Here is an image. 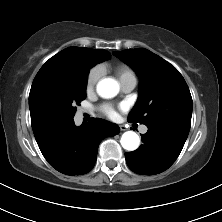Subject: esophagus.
Masks as SVG:
<instances>
[{
    "mask_svg": "<svg viewBox=\"0 0 222 222\" xmlns=\"http://www.w3.org/2000/svg\"><path fill=\"white\" fill-rule=\"evenodd\" d=\"M119 128H120L121 131H125V130H127L126 127H125L124 125H119Z\"/></svg>",
    "mask_w": 222,
    "mask_h": 222,
    "instance_id": "1",
    "label": "esophagus"
}]
</instances>
